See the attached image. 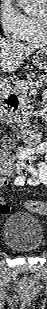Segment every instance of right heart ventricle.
<instances>
[{"mask_svg":"<svg viewBox=\"0 0 47 309\" xmlns=\"http://www.w3.org/2000/svg\"><path fill=\"white\" fill-rule=\"evenodd\" d=\"M25 27L19 40L29 44H42L46 37L42 32V27L39 23L38 17L35 15L24 16Z\"/></svg>","mask_w":47,"mask_h":309,"instance_id":"1","label":"right heart ventricle"}]
</instances>
